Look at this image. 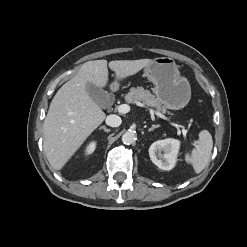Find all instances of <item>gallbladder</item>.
<instances>
[{
  "mask_svg": "<svg viewBox=\"0 0 247 247\" xmlns=\"http://www.w3.org/2000/svg\"><path fill=\"white\" fill-rule=\"evenodd\" d=\"M87 92L90 95V97L99 105V106H103L108 98H109V94L103 90L100 87H97L91 83H88L86 86Z\"/></svg>",
  "mask_w": 247,
  "mask_h": 247,
  "instance_id": "gallbladder-1",
  "label": "gallbladder"
}]
</instances>
